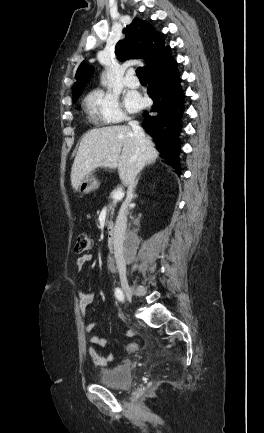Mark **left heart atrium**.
I'll use <instances>...</instances> for the list:
<instances>
[{
    "label": "left heart atrium",
    "instance_id": "39dd6f15",
    "mask_svg": "<svg viewBox=\"0 0 264 433\" xmlns=\"http://www.w3.org/2000/svg\"><path fill=\"white\" fill-rule=\"evenodd\" d=\"M126 106L131 111L140 109L143 105L142 99L136 94H129L125 99Z\"/></svg>",
    "mask_w": 264,
    "mask_h": 433
}]
</instances>
